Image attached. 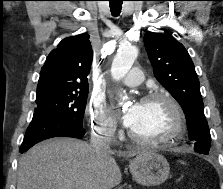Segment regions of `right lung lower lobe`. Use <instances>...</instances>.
Wrapping results in <instances>:
<instances>
[{
  "label": "right lung lower lobe",
  "instance_id": "right-lung-lower-lobe-1",
  "mask_svg": "<svg viewBox=\"0 0 223 189\" xmlns=\"http://www.w3.org/2000/svg\"><path fill=\"white\" fill-rule=\"evenodd\" d=\"M83 127L74 126L66 120L34 115L28 126L19 151L26 152L36 143L53 137H82Z\"/></svg>",
  "mask_w": 223,
  "mask_h": 189
}]
</instances>
